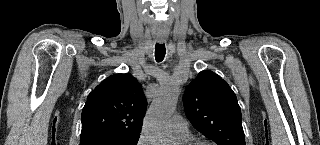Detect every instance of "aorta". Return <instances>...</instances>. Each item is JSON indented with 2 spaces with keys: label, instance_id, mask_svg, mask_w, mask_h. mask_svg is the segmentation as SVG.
Wrapping results in <instances>:
<instances>
[{
  "label": "aorta",
  "instance_id": "aorta-1",
  "mask_svg": "<svg viewBox=\"0 0 320 145\" xmlns=\"http://www.w3.org/2000/svg\"><path fill=\"white\" fill-rule=\"evenodd\" d=\"M178 96V83L169 79L150 105L144 119L143 131L152 145H173L169 118L176 107Z\"/></svg>",
  "mask_w": 320,
  "mask_h": 145
}]
</instances>
